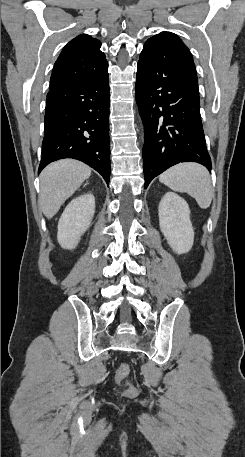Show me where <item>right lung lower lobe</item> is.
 <instances>
[{
	"label": "right lung lower lobe",
	"mask_w": 245,
	"mask_h": 457,
	"mask_svg": "<svg viewBox=\"0 0 245 457\" xmlns=\"http://www.w3.org/2000/svg\"><path fill=\"white\" fill-rule=\"evenodd\" d=\"M108 81L107 69L50 89L38 173L50 162L73 158L94 168L109 183Z\"/></svg>",
	"instance_id": "obj_1"
}]
</instances>
